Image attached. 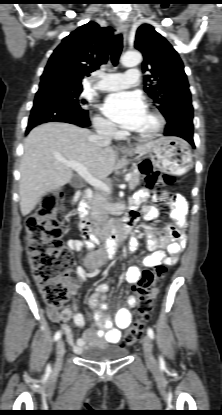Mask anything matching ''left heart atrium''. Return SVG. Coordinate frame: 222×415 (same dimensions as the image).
I'll use <instances>...</instances> for the list:
<instances>
[{"instance_id":"1","label":"left heart atrium","mask_w":222,"mask_h":415,"mask_svg":"<svg viewBox=\"0 0 222 415\" xmlns=\"http://www.w3.org/2000/svg\"><path fill=\"white\" fill-rule=\"evenodd\" d=\"M102 111L119 126L133 129L146 109L139 93L123 91L107 96Z\"/></svg>"}]
</instances>
